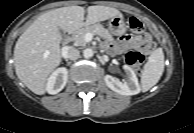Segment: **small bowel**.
<instances>
[{"label": "small bowel", "mask_w": 194, "mask_h": 133, "mask_svg": "<svg viewBox=\"0 0 194 133\" xmlns=\"http://www.w3.org/2000/svg\"><path fill=\"white\" fill-rule=\"evenodd\" d=\"M141 47L142 54H151L155 51V44L151 43V38L148 34L141 36H123L115 44L118 51L125 52L131 49Z\"/></svg>", "instance_id": "1"}]
</instances>
